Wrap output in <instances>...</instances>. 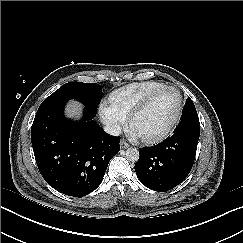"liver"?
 Returning <instances> with one entry per match:
<instances>
[{
  "instance_id": "liver-1",
  "label": "liver",
  "mask_w": 243,
  "mask_h": 243,
  "mask_svg": "<svg viewBox=\"0 0 243 243\" xmlns=\"http://www.w3.org/2000/svg\"><path fill=\"white\" fill-rule=\"evenodd\" d=\"M83 105L77 101H69L65 107V115L67 118L79 120L82 117Z\"/></svg>"
}]
</instances>
